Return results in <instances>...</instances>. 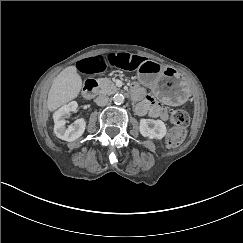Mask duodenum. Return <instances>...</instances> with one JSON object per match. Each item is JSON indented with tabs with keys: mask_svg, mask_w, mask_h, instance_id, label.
I'll return each mask as SVG.
<instances>
[{
	"mask_svg": "<svg viewBox=\"0 0 243 243\" xmlns=\"http://www.w3.org/2000/svg\"><path fill=\"white\" fill-rule=\"evenodd\" d=\"M96 89H97V82L94 79L87 80L84 85L83 92H82L83 98L86 100L91 99L93 97V95L95 94ZM131 97L133 99H138L139 95L135 91H132Z\"/></svg>",
	"mask_w": 243,
	"mask_h": 243,
	"instance_id": "obj_1",
	"label": "duodenum"
}]
</instances>
